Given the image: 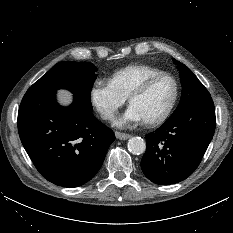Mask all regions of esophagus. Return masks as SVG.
Wrapping results in <instances>:
<instances>
[{
    "label": "esophagus",
    "instance_id": "1",
    "mask_svg": "<svg viewBox=\"0 0 233 233\" xmlns=\"http://www.w3.org/2000/svg\"><path fill=\"white\" fill-rule=\"evenodd\" d=\"M115 136L116 138L120 139V140H127L129 139L131 136L127 133H122V132H115Z\"/></svg>",
    "mask_w": 233,
    "mask_h": 233
}]
</instances>
